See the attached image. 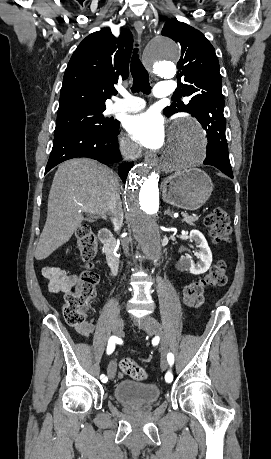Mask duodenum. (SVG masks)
I'll return each instance as SVG.
<instances>
[{"instance_id": "1", "label": "duodenum", "mask_w": 271, "mask_h": 459, "mask_svg": "<svg viewBox=\"0 0 271 459\" xmlns=\"http://www.w3.org/2000/svg\"><path fill=\"white\" fill-rule=\"evenodd\" d=\"M99 240L102 243L104 250H105V255H106V261L113 273H116L118 271V259L115 255L114 251V241L112 237V233L108 228H102L99 231Z\"/></svg>"}]
</instances>
